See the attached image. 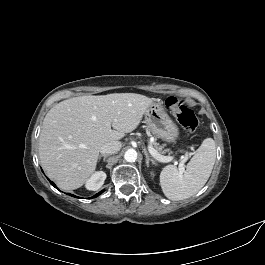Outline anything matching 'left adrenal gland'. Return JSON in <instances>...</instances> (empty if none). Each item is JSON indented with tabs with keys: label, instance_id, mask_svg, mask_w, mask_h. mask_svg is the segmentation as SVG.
Returning <instances> with one entry per match:
<instances>
[{
	"label": "left adrenal gland",
	"instance_id": "1",
	"mask_svg": "<svg viewBox=\"0 0 265 265\" xmlns=\"http://www.w3.org/2000/svg\"><path fill=\"white\" fill-rule=\"evenodd\" d=\"M143 152H144L145 157H146V165H147V167H149V162H150V161H151L153 164H155V160H154L153 158H151V157L148 155L146 149H143Z\"/></svg>",
	"mask_w": 265,
	"mask_h": 265
}]
</instances>
